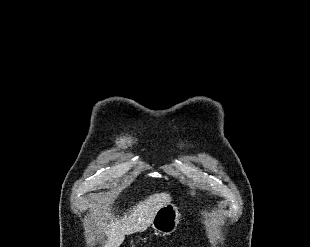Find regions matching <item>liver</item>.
<instances>
[{
  "label": "liver",
  "mask_w": 310,
  "mask_h": 247,
  "mask_svg": "<svg viewBox=\"0 0 310 247\" xmlns=\"http://www.w3.org/2000/svg\"><path fill=\"white\" fill-rule=\"evenodd\" d=\"M171 201L167 193H158L149 196L146 200L139 202L129 213L123 217L114 216L111 213L106 214L110 222L105 223L104 232L108 237L105 247H119L125 235L145 231L151 224L156 211L164 204Z\"/></svg>",
  "instance_id": "1"
}]
</instances>
